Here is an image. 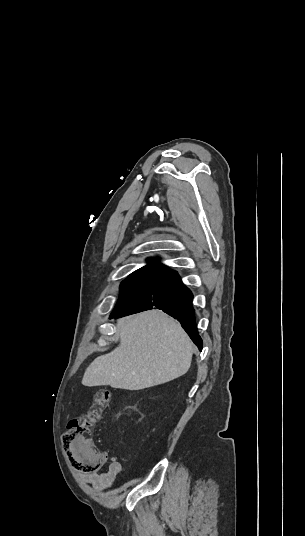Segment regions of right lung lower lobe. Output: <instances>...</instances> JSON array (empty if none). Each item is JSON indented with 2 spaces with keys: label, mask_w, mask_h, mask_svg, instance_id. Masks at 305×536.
Segmentation results:
<instances>
[{
  "label": "right lung lower lobe",
  "mask_w": 305,
  "mask_h": 536,
  "mask_svg": "<svg viewBox=\"0 0 305 536\" xmlns=\"http://www.w3.org/2000/svg\"><path fill=\"white\" fill-rule=\"evenodd\" d=\"M193 295L185 287L176 274L165 278L151 291L139 298L121 312L111 314L110 318H120L141 311L157 308L176 318L188 333L192 341L202 349L200 338L195 323V313L192 307Z\"/></svg>",
  "instance_id": "98d812e1"
}]
</instances>
